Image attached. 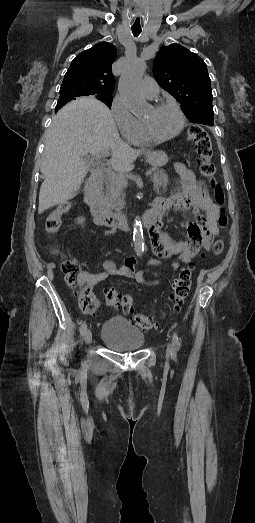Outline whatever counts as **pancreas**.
Returning a JSON list of instances; mask_svg holds the SVG:
<instances>
[{
    "mask_svg": "<svg viewBox=\"0 0 255 523\" xmlns=\"http://www.w3.org/2000/svg\"><path fill=\"white\" fill-rule=\"evenodd\" d=\"M152 176L156 194L166 192L169 180L164 170H153ZM125 180L126 176H123V174L105 176L106 200H108L111 210H115L117 214L125 206V194L123 192V188H126L124 186Z\"/></svg>",
    "mask_w": 255,
    "mask_h": 523,
    "instance_id": "1",
    "label": "pancreas"
}]
</instances>
